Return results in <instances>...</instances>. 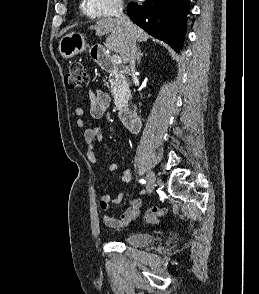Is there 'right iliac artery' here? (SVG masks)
I'll return each mask as SVG.
<instances>
[{
	"mask_svg": "<svg viewBox=\"0 0 259 294\" xmlns=\"http://www.w3.org/2000/svg\"><path fill=\"white\" fill-rule=\"evenodd\" d=\"M140 183H143V184H145V183H146V181H145L144 179H141V180H140Z\"/></svg>",
	"mask_w": 259,
	"mask_h": 294,
	"instance_id": "1",
	"label": "right iliac artery"
}]
</instances>
